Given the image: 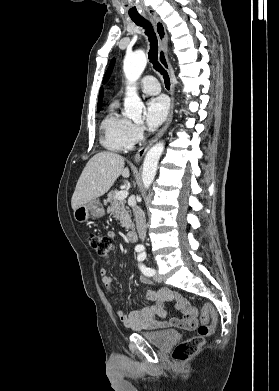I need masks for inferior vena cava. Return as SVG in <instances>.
<instances>
[{
  "label": "inferior vena cava",
  "instance_id": "inferior-vena-cava-1",
  "mask_svg": "<svg viewBox=\"0 0 279 391\" xmlns=\"http://www.w3.org/2000/svg\"><path fill=\"white\" fill-rule=\"evenodd\" d=\"M135 216L136 227L139 234V238L144 241L146 238V219L144 211L137 205L132 207Z\"/></svg>",
  "mask_w": 279,
  "mask_h": 391
}]
</instances>
